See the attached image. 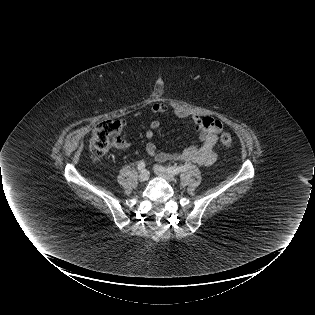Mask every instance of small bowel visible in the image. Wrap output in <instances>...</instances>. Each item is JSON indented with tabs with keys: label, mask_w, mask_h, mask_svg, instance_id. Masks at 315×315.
<instances>
[{
	"label": "small bowel",
	"mask_w": 315,
	"mask_h": 315,
	"mask_svg": "<svg viewBox=\"0 0 315 315\" xmlns=\"http://www.w3.org/2000/svg\"><path fill=\"white\" fill-rule=\"evenodd\" d=\"M168 110L164 103H154L151 107V112L154 114H163ZM175 115L182 119H189L197 137V143L186 147L181 152H162L157 149L154 142L149 141L146 144V152L158 162L164 161H183L195 163L204 166H210L217 160L215 145L218 141V134L222 129V124L219 120L212 117H199L191 115L185 110H175ZM141 116V114H137ZM121 127L128 124L127 119L119 121ZM161 122L158 119H153L150 122L149 129L145 132L147 139L151 140L155 132L160 128ZM118 147H127L128 143L121 141L117 144Z\"/></svg>",
	"instance_id": "obj_1"
}]
</instances>
